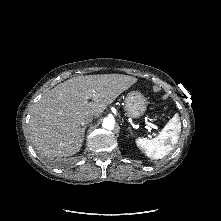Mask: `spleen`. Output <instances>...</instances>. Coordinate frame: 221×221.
<instances>
[{"label":"spleen","mask_w":221,"mask_h":221,"mask_svg":"<svg viewBox=\"0 0 221 221\" xmlns=\"http://www.w3.org/2000/svg\"><path fill=\"white\" fill-rule=\"evenodd\" d=\"M180 132L181 122L179 115L175 114L158 136L153 139L138 138L136 145L150 159H161L168 155L178 142Z\"/></svg>","instance_id":"obj_1"}]
</instances>
